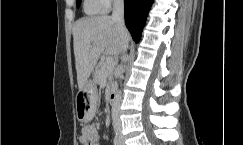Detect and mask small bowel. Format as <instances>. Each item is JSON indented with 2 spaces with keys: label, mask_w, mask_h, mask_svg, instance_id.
<instances>
[{
  "label": "small bowel",
  "mask_w": 243,
  "mask_h": 145,
  "mask_svg": "<svg viewBox=\"0 0 243 145\" xmlns=\"http://www.w3.org/2000/svg\"><path fill=\"white\" fill-rule=\"evenodd\" d=\"M78 142L80 145H100L96 128L93 126L84 127L78 138Z\"/></svg>",
  "instance_id": "obj_1"
}]
</instances>
